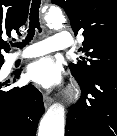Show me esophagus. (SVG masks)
<instances>
[{
	"instance_id": "esophagus-1",
	"label": "esophagus",
	"mask_w": 117,
	"mask_h": 136,
	"mask_svg": "<svg viewBox=\"0 0 117 136\" xmlns=\"http://www.w3.org/2000/svg\"><path fill=\"white\" fill-rule=\"evenodd\" d=\"M43 100H44V106L47 109L52 102V98L50 96H48L47 94H44Z\"/></svg>"
}]
</instances>
